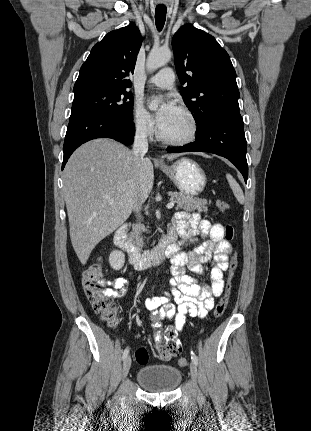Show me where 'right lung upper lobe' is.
<instances>
[{
    "label": "right lung upper lobe",
    "instance_id": "obj_1",
    "mask_svg": "<svg viewBox=\"0 0 311 431\" xmlns=\"http://www.w3.org/2000/svg\"><path fill=\"white\" fill-rule=\"evenodd\" d=\"M142 36L135 24L109 32L95 44L80 68L74 92L85 89L126 90L134 72Z\"/></svg>",
    "mask_w": 311,
    "mask_h": 431
}]
</instances>
